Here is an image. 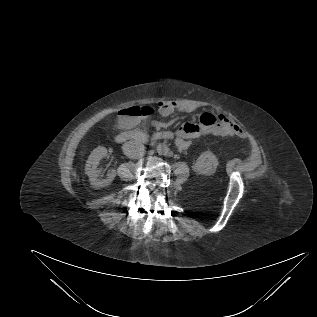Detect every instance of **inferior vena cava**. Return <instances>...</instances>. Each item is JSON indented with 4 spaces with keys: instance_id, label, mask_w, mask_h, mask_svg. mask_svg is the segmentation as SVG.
Listing matches in <instances>:
<instances>
[{
    "instance_id": "1",
    "label": "inferior vena cava",
    "mask_w": 317,
    "mask_h": 317,
    "mask_svg": "<svg viewBox=\"0 0 317 317\" xmlns=\"http://www.w3.org/2000/svg\"><path fill=\"white\" fill-rule=\"evenodd\" d=\"M124 154L132 159H139L145 154V147L138 141L131 140L123 144Z\"/></svg>"
}]
</instances>
